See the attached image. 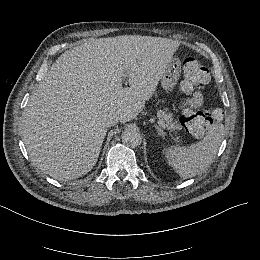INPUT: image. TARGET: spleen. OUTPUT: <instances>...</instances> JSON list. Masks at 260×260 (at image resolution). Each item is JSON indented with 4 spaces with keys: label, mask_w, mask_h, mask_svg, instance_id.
Instances as JSON below:
<instances>
[{
    "label": "spleen",
    "mask_w": 260,
    "mask_h": 260,
    "mask_svg": "<svg viewBox=\"0 0 260 260\" xmlns=\"http://www.w3.org/2000/svg\"><path fill=\"white\" fill-rule=\"evenodd\" d=\"M225 134L224 124L213 122L205 136L189 145L164 146L161 153L166 164L181 178H191L204 172L215 159Z\"/></svg>",
    "instance_id": "3e777b00"
}]
</instances>
